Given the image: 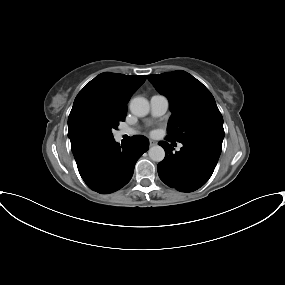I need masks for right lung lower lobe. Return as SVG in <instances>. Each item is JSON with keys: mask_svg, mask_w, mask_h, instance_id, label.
I'll use <instances>...</instances> for the list:
<instances>
[{"mask_svg": "<svg viewBox=\"0 0 285 285\" xmlns=\"http://www.w3.org/2000/svg\"><path fill=\"white\" fill-rule=\"evenodd\" d=\"M148 148L149 140L136 135L125 146H120L113 139L84 143L72 152L87 186L98 193L108 194L130 181L135 163Z\"/></svg>", "mask_w": 285, "mask_h": 285, "instance_id": "obj_1", "label": "right lung lower lobe"}]
</instances>
